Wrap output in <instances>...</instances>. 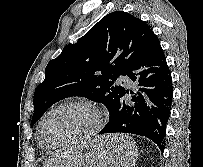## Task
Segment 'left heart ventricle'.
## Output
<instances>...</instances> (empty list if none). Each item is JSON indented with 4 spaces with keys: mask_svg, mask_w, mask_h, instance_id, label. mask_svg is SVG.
<instances>
[{
    "mask_svg": "<svg viewBox=\"0 0 203 167\" xmlns=\"http://www.w3.org/2000/svg\"><path fill=\"white\" fill-rule=\"evenodd\" d=\"M95 122L91 111L80 106H66L52 113L43 125L47 144H56L75 138L89 130Z\"/></svg>",
    "mask_w": 203,
    "mask_h": 167,
    "instance_id": "obj_1",
    "label": "left heart ventricle"
}]
</instances>
